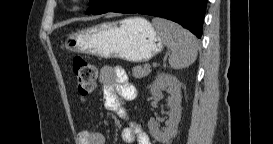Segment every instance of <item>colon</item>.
I'll use <instances>...</instances> for the list:
<instances>
[{"label":"colon","mask_w":273,"mask_h":144,"mask_svg":"<svg viewBox=\"0 0 273 144\" xmlns=\"http://www.w3.org/2000/svg\"><path fill=\"white\" fill-rule=\"evenodd\" d=\"M73 71L77 82L78 93L82 98L91 95L96 86L97 69L83 57L73 59Z\"/></svg>","instance_id":"obj_1"}]
</instances>
